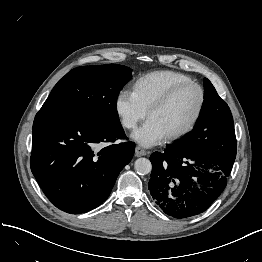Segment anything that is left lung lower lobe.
<instances>
[{"mask_svg": "<svg viewBox=\"0 0 262 262\" xmlns=\"http://www.w3.org/2000/svg\"><path fill=\"white\" fill-rule=\"evenodd\" d=\"M218 155L177 150L154 152L148 183L156 204L169 216L188 218L207 210L221 195L236 157V140Z\"/></svg>", "mask_w": 262, "mask_h": 262, "instance_id": "0a47b994", "label": "left lung lower lobe"}]
</instances>
